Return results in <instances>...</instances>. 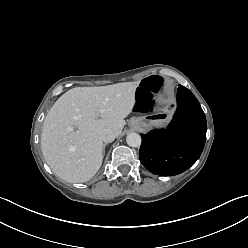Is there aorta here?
<instances>
[{"instance_id":"aorta-1","label":"aorta","mask_w":248,"mask_h":248,"mask_svg":"<svg viewBox=\"0 0 248 248\" xmlns=\"http://www.w3.org/2000/svg\"><path fill=\"white\" fill-rule=\"evenodd\" d=\"M126 142L130 147H140L141 136L138 133H129L126 137Z\"/></svg>"}]
</instances>
